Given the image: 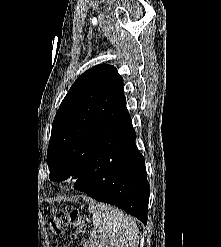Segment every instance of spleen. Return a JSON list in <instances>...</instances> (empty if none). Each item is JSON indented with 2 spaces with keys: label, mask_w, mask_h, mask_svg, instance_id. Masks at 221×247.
I'll use <instances>...</instances> for the list:
<instances>
[{
  "label": "spleen",
  "mask_w": 221,
  "mask_h": 247,
  "mask_svg": "<svg viewBox=\"0 0 221 247\" xmlns=\"http://www.w3.org/2000/svg\"><path fill=\"white\" fill-rule=\"evenodd\" d=\"M92 212L90 247H138V227L129 216L105 204L93 207Z\"/></svg>",
  "instance_id": "obj_1"
}]
</instances>
